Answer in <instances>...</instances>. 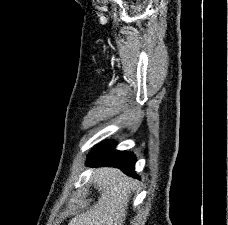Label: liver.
Here are the masks:
<instances>
[{"mask_svg": "<svg viewBox=\"0 0 228 225\" xmlns=\"http://www.w3.org/2000/svg\"><path fill=\"white\" fill-rule=\"evenodd\" d=\"M93 179L95 189L101 191L97 203L80 217L71 219L68 225H123L131 197L129 183L135 185V181L119 169L108 167L96 169Z\"/></svg>", "mask_w": 228, "mask_h": 225, "instance_id": "liver-1", "label": "liver"}]
</instances>
